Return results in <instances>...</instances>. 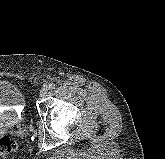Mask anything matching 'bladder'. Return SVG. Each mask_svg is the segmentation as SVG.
<instances>
[{"instance_id":"obj_1","label":"bladder","mask_w":165,"mask_h":159,"mask_svg":"<svg viewBox=\"0 0 165 159\" xmlns=\"http://www.w3.org/2000/svg\"><path fill=\"white\" fill-rule=\"evenodd\" d=\"M25 103L20 89L11 82L0 80V107H9L16 116ZM6 112L0 113V123L5 120Z\"/></svg>"}]
</instances>
